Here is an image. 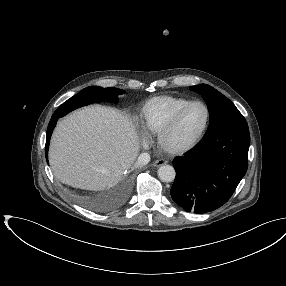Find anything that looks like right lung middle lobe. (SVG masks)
I'll return each instance as SVG.
<instances>
[{"label": "right lung middle lobe", "instance_id": "dd1d6c3e", "mask_svg": "<svg viewBox=\"0 0 286 286\" xmlns=\"http://www.w3.org/2000/svg\"><path fill=\"white\" fill-rule=\"evenodd\" d=\"M123 93L124 91L118 88L89 86L68 99L62 106L58 107L56 112L62 117L70 111L92 102L107 101L116 103L118 101V95Z\"/></svg>", "mask_w": 286, "mask_h": 286}]
</instances>
